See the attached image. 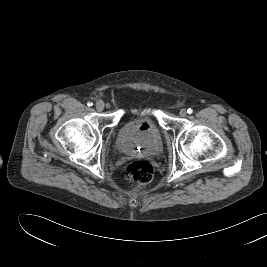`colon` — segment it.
I'll use <instances>...</instances> for the list:
<instances>
[{"label": "colon", "mask_w": 267, "mask_h": 267, "mask_svg": "<svg viewBox=\"0 0 267 267\" xmlns=\"http://www.w3.org/2000/svg\"><path fill=\"white\" fill-rule=\"evenodd\" d=\"M154 174L152 165L144 160L130 162L125 168V180L129 183L145 185L151 182Z\"/></svg>", "instance_id": "1"}]
</instances>
